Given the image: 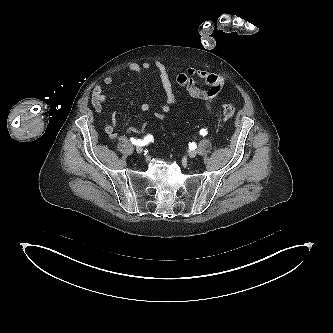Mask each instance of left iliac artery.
<instances>
[{"instance_id": "1", "label": "left iliac artery", "mask_w": 333, "mask_h": 333, "mask_svg": "<svg viewBox=\"0 0 333 333\" xmlns=\"http://www.w3.org/2000/svg\"><path fill=\"white\" fill-rule=\"evenodd\" d=\"M200 135L206 136L207 135V130L206 129H201L200 130Z\"/></svg>"}]
</instances>
